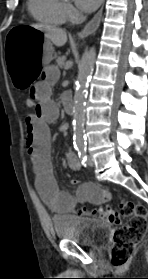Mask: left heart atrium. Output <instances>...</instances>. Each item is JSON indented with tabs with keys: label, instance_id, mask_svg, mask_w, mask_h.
Wrapping results in <instances>:
<instances>
[{
	"label": "left heart atrium",
	"instance_id": "39dd6f15",
	"mask_svg": "<svg viewBox=\"0 0 148 279\" xmlns=\"http://www.w3.org/2000/svg\"><path fill=\"white\" fill-rule=\"evenodd\" d=\"M102 0H75L76 5L84 12L95 10Z\"/></svg>",
	"mask_w": 148,
	"mask_h": 279
}]
</instances>
